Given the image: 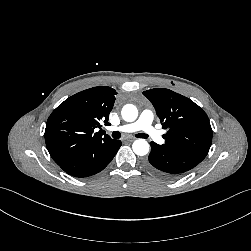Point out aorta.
<instances>
[{"label": "aorta", "instance_id": "aorta-1", "mask_svg": "<svg viewBox=\"0 0 251 251\" xmlns=\"http://www.w3.org/2000/svg\"><path fill=\"white\" fill-rule=\"evenodd\" d=\"M122 118L127 122H133L138 117V110L133 104H126L121 111ZM132 149L136 155L144 156L149 152V143L144 139H137L133 142Z\"/></svg>", "mask_w": 251, "mask_h": 251}]
</instances>
